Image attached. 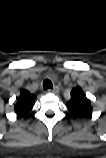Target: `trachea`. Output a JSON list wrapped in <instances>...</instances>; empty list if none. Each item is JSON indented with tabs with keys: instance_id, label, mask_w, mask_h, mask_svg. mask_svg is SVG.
I'll return each mask as SVG.
<instances>
[{
	"instance_id": "obj_1",
	"label": "trachea",
	"mask_w": 106,
	"mask_h": 158,
	"mask_svg": "<svg viewBox=\"0 0 106 158\" xmlns=\"http://www.w3.org/2000/svg\"><path fill=\"white\" fill-rule=\"evenodd\" d=\"M43 89L47 90V89H53V84L49 79H45L43 81Z\"/></svg>"
}]
</instances>
